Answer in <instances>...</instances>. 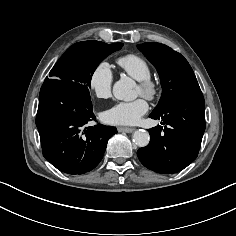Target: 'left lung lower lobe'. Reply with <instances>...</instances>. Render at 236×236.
<instances>
[{
	"label": "left lung lower lobe",
	"mask_w": 236,
	"mask_h": 236,
	"mask_svg": "<svg viewBox=\"0 0 236 236\" xmlns=\"http://www.w3.org/2000/svg\"><path fill=\"white\" fill-rule=\"evenodd\" d=\"M204 98L201 90L174 98L160 113L149 117L161 119L163 126L149 130L150 143L137 151L140 162L162 174L179 172L197 157L205 131Z\"/></svg>",
	"instance_id": "left-lung-lower-lobe-1"
}]
</instances>
